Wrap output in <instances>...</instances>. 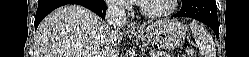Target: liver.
<instances>
[{"instance_id":"obj_1","label":"liver","mask_w":249,"mask_h":57,"mask_svg":"<svg viewBox=\"0 0 249 57\" xmlns=\"http://www.w3.org/2000/svg\"><path fill=\"white\" fill-rule=\"evenodd\" d=\"M122 34L112 40L107 25L89 9L68 4L49 14L35 37V57H118Z\"/></svg>"}]
</instances>
